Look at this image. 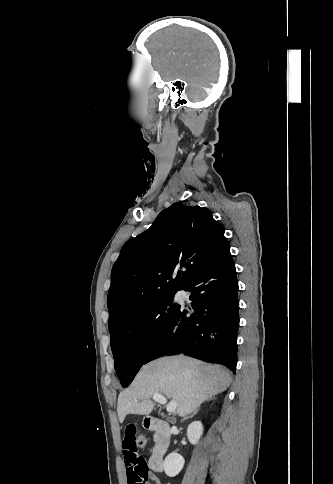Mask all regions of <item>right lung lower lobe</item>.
I'll list each match as a JSON object with an SVG mask.
<instances>
[{
  "label": "right lung lower lobe",
  "instance_id": "1",
  "mask_svg": "<svg viewBox=\"0 0 333 484\" xmlns=\"http://www.w3.org/2000/svg\"><path fill=\"white\" fill-rule=\"evenodd\" d=\"M182 290L190 291L193 313L178 307L172 322L155 342L143 364L164 355L183 353L220 363L234 373L239 326L238 282L228 244Z\"/></svg>",
  "mask_w": 333,
  "mask_h": 484
}]
</instances>
